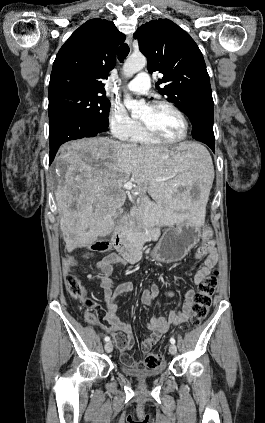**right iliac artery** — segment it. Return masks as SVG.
Here are the masks:
<instances>
[{
	"instance_id": "82829eb1",
	"label": "right iliac artery",
	"mask_w": 265,
	"mask_h": 423,
	"mask_svg": "<svg viewBox=\"0 0 265 423\" xmlns=\"http://www.w3.org/2000/svg\"><path fill=\"white\" fill-rule=\"evenodd\" d=\"M104 340H105L106 342H108V341H110V338H109L108 336H106V337L104 338Z\"/></svg>"
}]
</instances>
